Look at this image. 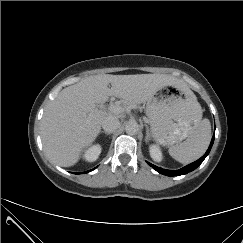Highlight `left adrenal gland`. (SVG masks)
Wrapping results in <instances>:
<instances>
[{
  "mask_svg": "<svg viewBox=\"0 0 243 243\" xmlns=\"http://www.w3.org/2000/svg\"><path fill=\"white\" fill-rule=\"evenodd\" d=\"M146 128V137H145V141L148 142L150 139V131L147 125H145Z\"/></svg>",
  "mask_w": 243,
  "mask_h": 243,
  "instance_id": "left-adrenal-gland-1",
  "label": "left adrenal gland"
}]
</instances>
